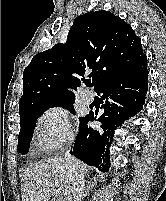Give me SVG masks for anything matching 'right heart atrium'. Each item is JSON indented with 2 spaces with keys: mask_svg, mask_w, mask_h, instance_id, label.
I'll list each match as a JSON object with an SVG mask.
<instances>
[{
  "mask_svg": "<svg viewBox=\"0 0 166 201\" xmlns=\"http://www.w3.org/2000/svg\"><path fill=\"white\" fill-rule=\"evenodd\" d=\"M74 131L68 112L62 107H50L38 118L36 126L37 145L46 154L53 153L70 144Z\"/></svg>",
  "mask_w": 166,
  "mask_h": 201,
  "instance_id": "right-heart-atrium-1",
  "label": "right heart atrium"
}]
</instances>
